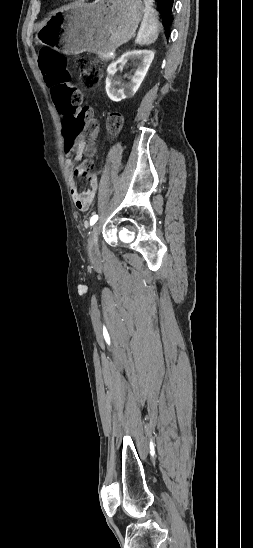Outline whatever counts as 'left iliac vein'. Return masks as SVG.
Masks as SVG:
<instances>
[{
	"mask_svg": "<svg viewBox=\"0 0 253 548\" xmlns=\"http://www.w3.org/2000/svg\"><path fill=\"white\" fill-rule=\"evenodd\" d=\"M98 233L99 225L96 224L88 237V253L91 259H96L99 256Z\"/></svg>",
	"mask_w": 253,
	"mask_h": 548,
	"instance_id": "left-iliac-vein-1",
	"label": "left iliac vein"
}]
</instances>
